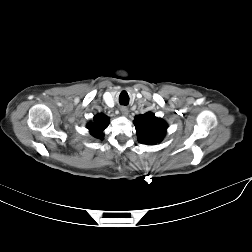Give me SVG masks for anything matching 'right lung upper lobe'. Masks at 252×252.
<instances>
[{"label": "right lung upper lobe", "instance_id": "1", "mask_svg": "<svg viewBox=\"0 0 252 252\" xmlns=\"http://www.w3.org/2000/svg\"><path fill=\"white\" fill-rule=\"evenodd\" d=\"M110 119L103 113H99L94 117V122L88 125L91 134L96 138L103 137V130L108 126Z\"/></svg>", "mask_w": 252, "mask_h": 252}]
</instances>
